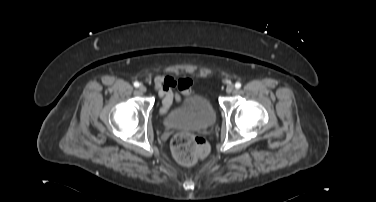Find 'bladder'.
I'll use <instances>...</instances> for the list:
<instances>
[{
    "mask_svg": "<svg viewBox=\"0 0 376 202\" xmlns=\"http://www.w3.org/2000/svg\"><path fill=\"white\" fill-rule=\"evenodd\" d=\"M215 121V109L206 97L199 94L188 98L181 108L162 116L165 127L182 130L205 129L212 126Z\"/></svg>",
    "mask_w": 376,
    "mask_h": 202,
    "instance_id": "bladder-1",
    "label": "bladder"
}]
</instances>
